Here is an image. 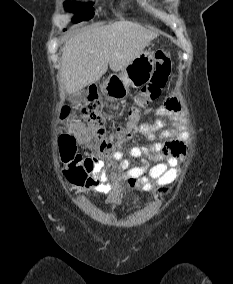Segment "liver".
<instances>
[{
	"label": "liver",
	"mask_w": 233,
	"mask_h": 284,
	"mask_svg": "<svg viewBox=\"0 0 233 284\" xmlns=\"http://www.w3.org/2000/svg\"><path fill=\"white\" fill-rule=\"evenodd\" d=\"M131 21L91 26L68 39L62 49L60 74L68 94L75 95L107 72L122 71L158 36Z\"/></svg>",
	"instance_id": "1"
}]
</instances>
